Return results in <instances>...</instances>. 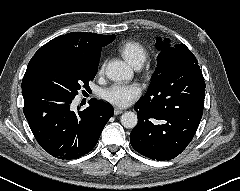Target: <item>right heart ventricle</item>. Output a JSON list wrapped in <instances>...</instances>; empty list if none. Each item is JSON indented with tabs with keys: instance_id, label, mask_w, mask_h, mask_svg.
<instances>
[{
	"instance_id": "obj_1",
	"label": "right heart ventricle",
	"mask_w": 240,
	"mask_h": 191,
	"mask_svg": "<svg viewBox=\"0 0 240 191\" xmlns=\"http://www.w3.org/2000/svg\"><path fill=\"white\" fill-rule=\"evenodd\" d=\"M118 51L133 66L142 65L148 56L147 49L136 41L122 43Z\"/></svg>"
}]
</instances>
